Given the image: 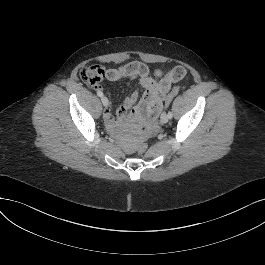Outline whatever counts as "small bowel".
I'll use <instances>...</instances> for the list:
<instances>
[{
  "mask_svg": "<svg viewBox=\"0 0 265 265\" xmlns=\"http://www.w3.org/2000/svg\"><path fill=\"white\" fill-rule=\"evenodd\" d=\"M103 71L102 79L117 81L137 78L142 88L140 92H134L125 98L117 109L116 118L112 115L110 107L107 106L103 118L110 131L122 128L126 121L135 123L140 119L153 120L160 113L163 101L172 86L186 75V69L183 66H176L169 71L156 69L155 77H152L148 66L140 61L121 64L114 68H103ZM93 86L99 91L102 89L98 84Z\"/></svg>",
  "mask_w": 265,
  "mask_h": 265,
  "instance_id": "small-bowel-1",
  "label": "small bowel"
}]
</instances>
